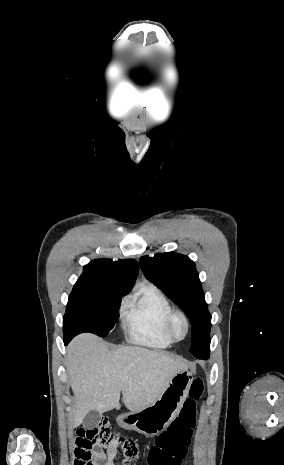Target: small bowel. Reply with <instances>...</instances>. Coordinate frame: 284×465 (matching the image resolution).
Wrapping results in <instances>:
<instances>
[{
	"mask_svg": "<svg viewBox=\"0 0 284 465\" xmlns=\"http://www.w3.org/2000/svg\"><path fill=\"white\" fill-rule=\"evenodd\" d=\"M117 449H118V443L116 440H114L108 447H107V459L105 460L104 463H100L99 465H114L113 459L117 454ZM96 459L97 460H103V454L102 453H96Z\"/></svg>",
	"mask_w": 284,
	"mask_h": 465,
	"instance_id": "1",
	"label": "small bowel"
}]
</instances>
